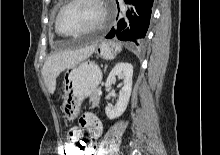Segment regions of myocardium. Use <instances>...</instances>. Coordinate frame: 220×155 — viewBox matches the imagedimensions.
<instances>
[{
    "instance_id": "f54148a6",
    "label": "myocardium",
    "mask_w": 220,
    "mask_h": 155,
    "mask_svg": "<svg viewBox=\"0 0 220 155\" xmlns=\"http://www.w3.org/2000/svg\"><path fill=\"white\" fill-rule=\"evenodd\" d=\"M78 0H67L58 10L55 20H54V29L56 31L57 34L61 35V36H78V35H84V34H88L91 32H94L98 29H100L107 21V17H108V10L106 7V4L104 2V0H94L100 7L101 9V17L100 20L94 24L93 26L86 28L84 30L81 31H77V32H72V33H65L63 32L60 27H59V20H60V16L62 14V12L69 7L71 4L75 3Z\"/></svg>"
}]
</instances>
